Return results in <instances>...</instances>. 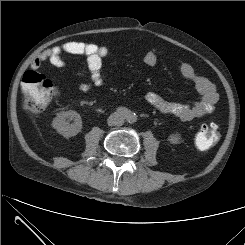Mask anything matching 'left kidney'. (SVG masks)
<instances>
[{
  "instance_id": "obj_1",
  "label": "left kidney",
  "mask_w": 245,
  "mask_h": 245,
  "mask_svg": "<svg viewBox=\"0 0 245 245\" xmlns=\"http://www.w3.org/2000/svg\"><path fill=\"white\" fill-rule=\"evenodd\" d=\"M180 140H181V136H180V134H178V133L172 134V135H170V137H169V141H170L171 143H173V144L179 143Z\"/></svg>"
}]
</instances>
